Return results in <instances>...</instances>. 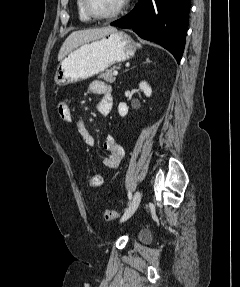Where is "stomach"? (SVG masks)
<instances>
[{
	"mask_svg": "<svg viewBox=\"0 0 240 287\" xmlns=\"http://www.w3.org/2000/svg\"><path fill=\"white\" fill-rule=\"evenodd\" d=\"M135 50L131 37L116 30L70 51L57 67L54 81L59 86H65L86 80L114 63L132 58Z\"/></svg>",
	"mask_w": 240,
	"mask_h": 287,
	"instance_id": "obj_1",
	"label": "stomach"
}]
</instances>
